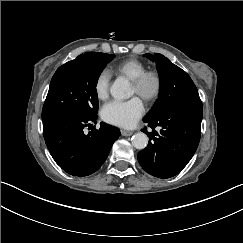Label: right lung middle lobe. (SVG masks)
I'll return each instance as SVG.
<instances>
[{"label":"right lung middle lobe","instance_id":"right-lung-middle-lobe-1","mask_svg":"<svg viewBox=\"0 0 243 243\" xmlns=\"http://www.w3.org/2000/svg\"><path fill=\"white\" fill-rule=\"evenodd\" d=\"M115 55L97 53L60 66L53 75L42 110L45 122L66 113L94 117L98 111V78Z\"/></svg>","mask_w":243,"mask_h":243}]
</instances>
